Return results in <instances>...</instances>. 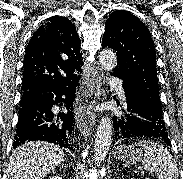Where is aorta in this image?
Returning a JSON list of instances; mask_svg holds the SVG:
<instances>
[{"label":"aorta","mask_w":183,"mask_h":179,"mask_svg":"<svg viewBox=\"0 0 183 179\" xmlns=\"http://www.w3.org/2000/svg\"><path fill=\"white\" fill-rule=\"evenodd\" d=\"M99 61L104 70L112 71L117 65V57L114 51L104 49L101 51ZM112 122L108 116L102 117L98 126L95 144L94 160L97 164L104 161L112 142Z\"/></svg>","instance_id":"obj_1"}]
</instances>
